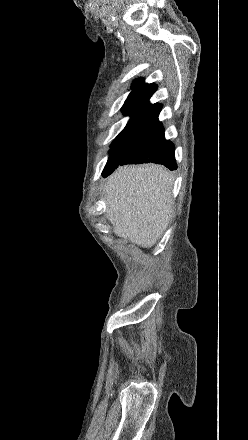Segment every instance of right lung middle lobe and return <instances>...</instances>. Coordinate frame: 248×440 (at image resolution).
Listing matches in <instances>:
<instances>
[{"label": "right lung middle lobe", "mask_w": 248, "mask_h": 440, "mask_svg": "<svg viewBox=\"0 0 248 440\" xmlns=\"http://www.w3.org/2000/svg\"><path fill=\"white\" fill-rule=\"evenodd\" d=\"M133 132L134 131L123 132L114 140L111 145L110 156L102 172V176L112 173L120 165L128 138L133 134Z\"/></svg>", "instance_id": "1"}]
</instances>
